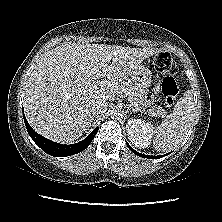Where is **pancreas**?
Wrapping results in <instances>:
<instances>
[{"instance_id": "1", "label": "pancreas", "mask_w": 222, "mask_h": 222, "mask_svg": "<svg viewBox=\"0 0 222 222\" xmlns=\"http://www.w3.org/2000/svg\"><path fill=\"white\" fill-rule=\"evenodd\" d=\"M122 92L128 96L130 103L136 110L154 117H164L166 115V111L162 107L152 106L151 100L147 99L146 90L138 88L133 84H126L122 87Z\"/></svg>"}]
</instances>
